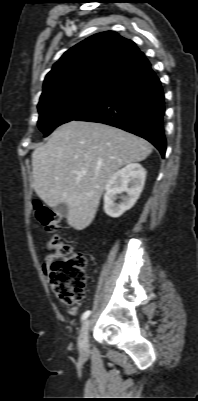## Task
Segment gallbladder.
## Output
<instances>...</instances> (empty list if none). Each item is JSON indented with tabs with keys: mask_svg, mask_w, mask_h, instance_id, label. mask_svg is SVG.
I'll use <instances>...</instances> for the list:
<instances>
[{
	"mask_svg": "<svg viewBox=\"0 0 198 401\" xmlns=\"http://www.w3.org/2000/svg\"><path fill=\"white\" fill-rule=\"evenodd\" d=\"M53 210L60 217H66L68 215V206L65 203H60L53 207Z\"/></svg>",
	"mask_w": 198,
	"mask_h": 401,
	"instance_id": "bac80fb5",
	"label": "gallbladder"
}]
</instances>
